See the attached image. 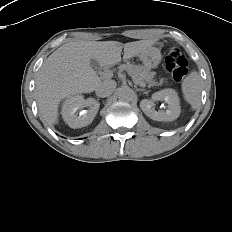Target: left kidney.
<instances>
[{"label":"left kidney","mask_w":232,"mask_h":232,"mask_svg":"<svg viewBox=\"0 0 232 232\" xmlns=\"http://www.w3.org/2000/svg\"><path fill=\"white\" fill-rule=\"evenodd\" d=\"M164 100L168 106L165 111L154 109L155 101ZM140 108L149 118L155 121H174L181 112L179 97L174 89L167 88L154 93L151 100L143 99Z\"/></svg>","instance_id":"5707ae66"}]
</instances>
